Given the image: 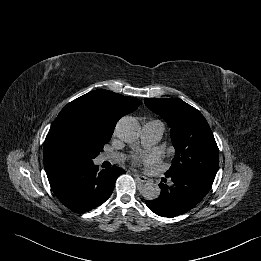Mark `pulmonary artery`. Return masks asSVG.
I'll use <instances>...</instances> for the list:
<instances>
[{
  "label": "pulmonary artery",
  "instance_id": "1",
  "mask_svg": "<svg viewBox=\"0 0 261 261\" xmlns=\"http://www.w3.org/2000/svg\"><path fill=\"white\" fill-rule=\"evenodd\" d=\"M163 124L159 121H149L143 125L141 140L145 146L156 144L162 137ZM123 159L120 154H103L100 156V161L119 162Z\"/></svg>",
  "mask_w": 261,
  "mask_h": 261
}]
</instances>
